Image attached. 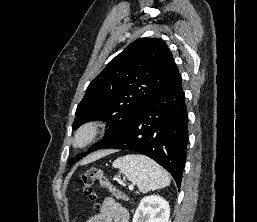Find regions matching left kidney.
I'll return each instance as SVG.
<instances>
[{"label": "left kidney", "mask_w": 257, "mask_h": 222, "mask_svg": "<svg viewBox=\"0 0 257 222\" xmlns=\"http://www.w3.org/2000/svg\"><path fill=\"white\" fill-rule=\"evenodd\" d=\"M169 203L157 195L145 196L135 211L133 222H168Z\"/></svg>", "instance_id": "5707ae66"}]
</instances>
